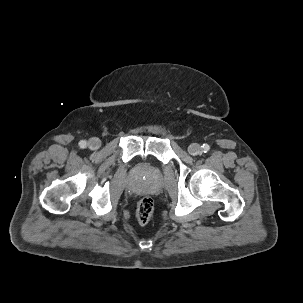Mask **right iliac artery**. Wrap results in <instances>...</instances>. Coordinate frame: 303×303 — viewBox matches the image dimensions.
<instances>
[{
    "instance_id": "1",
    "label": "right iliac artery",
    "mask_w": 303,
    "mask_h": 303,
    "mask_svg": "<svg viewBox=\"0 0 303 303\" xmlns=\"http://www.w3.org/2000/svg\"><path fill=\"white\" fill-rule=\"evenodd\" d=\"M79 145H80L81 148H85L86 147V141H84V140L80 141Z\"/></svg>"
}]
</instances>
